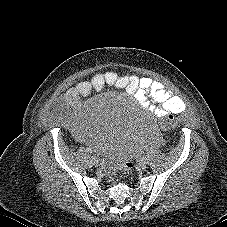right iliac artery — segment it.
<instances>
[{
	"instance_id": "1",
	"label": "right iliac artery",
	"mask_w": 227,
	"mask_h": 227,
	"mask_svg": "<svg viewBox=\"0 0 227 227\" xmlns=\"http://www.w3.org/2000/svg\"><path fill=\"white\" fill-rule=\"evenodd\" d=\"M87 151H88L89 153H92V149H91V148H87ZM92 158L95 159L96 157H95V156H92Z\"/></svg>"
}]
</instances>
